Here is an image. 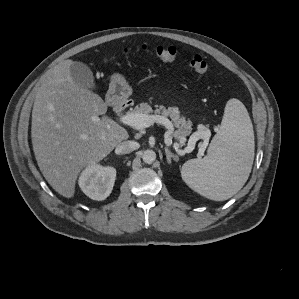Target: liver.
Segmentation results:
<instances>
[{"mask_svg": "<svg viewBox=\"0 0 299 299\" xmlns=\"http://www.w3.org/2000/svg\"><path fill=\"white\" fill-rule=\"evenodd\" d=\"M68 59L43 80L32 110V145L38 167L50 186L72 198L80 171L96 164L126 140L125 128L105 116L107 104L78 86Z\"/></svg>", "mask_w": 299, "mask_h": 299, "instance_id": "1", "label": "liver"}]
</instances>
